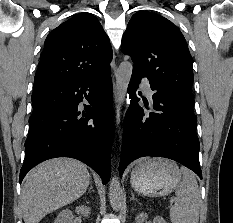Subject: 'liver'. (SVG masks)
<instances>
[{
    "label": "liver",
    "instance_id": "obj_1",
    "mask_svg": "<svg viewBox=\"0 0 233 223\" xmlns=\"http://www.w3.org/2000/svg\"><path fill=\"white\" fill-rule=\"evenodd\" d=\"M90 173L85 163L69 157L48 159L26 175L20 195L25 223H39L42 217L75 201L85 193Z\"/></svg>",
    "mask_w": 233,
    "mask_h": 223
}]
</instances>
